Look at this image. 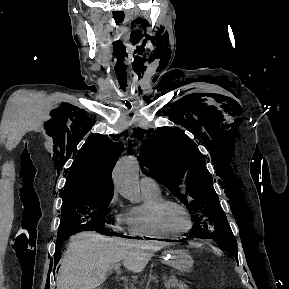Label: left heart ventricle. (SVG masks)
I'll return each instance as SVG.
<instances>
[{
    "mask_svg": "<svg viewBox=\"0 0 289 289\" xmlns=\"http://www.w3.org/2000/svg\"><path fill=\"white\" fill-rule=\"evenodd\" d=\"M160 220L165 229L174 233L181 232L188 226L186 214L174 205H169L162 210Z\"/></svg>",
    "mask_w": 289,
    "mask_h": 289,
    "instance_id": "obj_1",
    "label": "left heart ventricle"
}]
</instances>
